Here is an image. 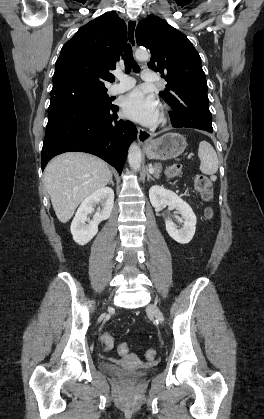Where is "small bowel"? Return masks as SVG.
I'll list each match as a JSON object with an SVG mask.
<instances>
[{
	"label": "small bowel",
	"mask_w": 264,
	"mask_h": 419,
	"mask_svg": "<svg viewBox=\"0 0 264 419\" xmlns=\"http://www.w3.org/2000/svg\"><path fill=\"white\" fill-rule=\"evenodd\" d=\"M125 345V343H122L120 346H119V354L121 355V356H125V355H127L128 354V352L127 353H124L123 351H122V348H123V346Z\"/></svg>",
	"instance_id": "small-bowel-1"
}]
</instances>
